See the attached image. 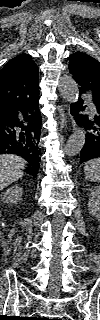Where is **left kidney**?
Masks as SVG:
<instances>
[{
  "instance_id": "1",
  "label": "left kidney",
  "mask_w": 100,
  "mask_h": 320,
  "mask_svg": "<svg viewBox=\"0 0 100 320\" xmlns=\"http://www.w3.org/2000/svg\"><path fill=\"white\" fill-rule=\"evenodd\" d=\"M89 213L95 217L100 216V188L94 187L91 189L90 198L88 201Z\"/></svg>"
}]
</instances>
